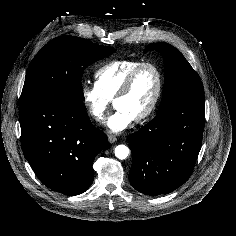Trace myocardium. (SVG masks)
<instances>
[{"label":"myocardium","instance_id":"obj_1","mask_svg":"<svg viewBox=\"0 0 236 236\" xmlns=\"http://www.w3.org/2000/svg\"><path fill=\"white\" fill-rule=\"evenodd\" d=\"M146 67H150L155 71L156 76H157V89H156L155 96L150 106L142 114L134 118L135 122H142V121L147 120L155 113V111L157 110L159 106V103L163 94V87H164V77H163V73L160 67L156 63L150 62V61L142 62L141 64H139L128 74L122 86L120 87L118 93L113 99V103L115 104L119 99L126 96L128 92L130 91L137 75Z\"/></svg>","mask_w":236,"mask_h":236}]
</instances>
